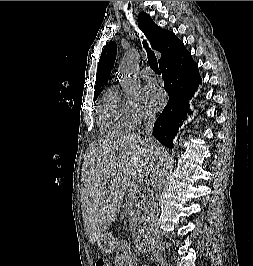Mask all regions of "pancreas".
I'll use <instances>...</instances> for the list:
<instances>
[{
	"instance_id": "pancreas-1",
	"label": "pancreas",
	"mask_w": 253,
	"mask_h": 266,
	"mask_svg": "<svg viewBox=\"0 0 253 266\" xmlns=\"http://www.w3.org/2000/svg\"><path fill=\"white\" fill-rule=\"evenodd\" d=\"M140 191L138 189L137 194H134L133 189L129 191L126 201V213L130 217V222L136 224L137 217L140 215Z\"/></svg>"
}]
</instances>
